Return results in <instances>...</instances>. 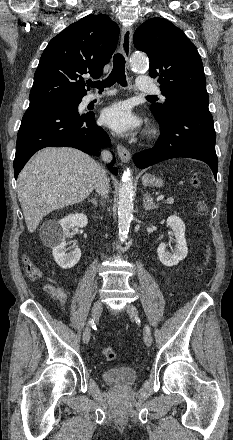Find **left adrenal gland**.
<instances>
[{
    "instance_id": "left-adrenal-gland-1",
    "label": "left adrenal gland",
    "mask_w": 233,
    "mask_h": 440,
    "mask_svg": "<svg viewBox=\"0 0 233 440\" xmlns=\"http://www.w3.org/2000/svg\"><path fill=\"white\" fill-rule=\"evenodd\" d=\"M157 207L158 206L155 205L152 197L148 193L144 194V196H143V208L145 210H151V209H156Z\"/></svg>"
}]
</instances>
